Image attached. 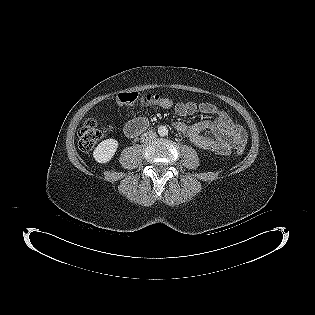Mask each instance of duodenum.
<instances>
[{"label":"duodenum","mask_w":315,"mask_h":315,"mask_svg":"<svg viewBox=\"0 0 315 315\" xmlns=\"http://www.w3.org/2000/svg\"><path fill=\"white\" fill-rule=\"evenodd\" d=\"M148 122L145 119H136L129 122L125 127V134L129 137H134L146 130Z\"/></svg>","instance_id":"obj_1"}]
</instances>
